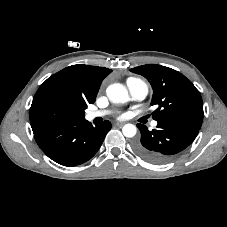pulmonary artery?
I'll list each match as a JSON object with an SVG mask.
<instances>
[{
	"label": "pulmonary artery",
	"mask_w": 227,
	"mask_h": 227,
	"mask_svg": "<svg viewBox=\"0 0 227 227\" xmlns=\"http://www.w3.org/2000/svg\"><path fill=\"white\" fill-rule=\"evenodd\" d=\"M127 88L129 90V94H130L131 98L133 100H136V101L143 100L148 94L147 84L140 79H136V78L128 79L127 80ZM106 114H107V111H89L86 114V118L88 120H93L97 117H102ZM156 125H157V122L154 121L152 123V126L155 127Z\"/></svg>",
	"instance_id": "e3ab8cb5"
}]
</instances>
